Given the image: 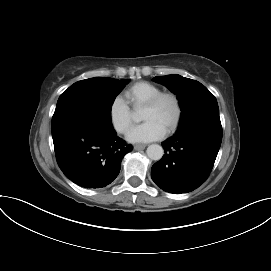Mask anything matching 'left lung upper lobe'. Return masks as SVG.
Returning a JSON list of instances; mask_svg holds the SVG:
<instances>
[{"label": "left lung upper lobe", "mask_w": 271, "mask_h": 271, "mask_svg": "<svg viewBox=\"0 0 271 271\" xmlns=\"http://www.w3.org/2000/svg\"><path fill=\"white\" fill-rule=\"evenodd\" d=\"M153 81L176 94L181 107L180 126L200 118L219 117L215 96L198 81L180 75L157 76Z\"/></svg>", "instance_id": "5c2ea615"}]
</instances>
